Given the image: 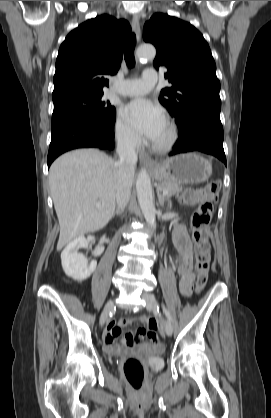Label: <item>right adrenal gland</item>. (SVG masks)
Returning <instances> with one entry per match:
<instances>
[{"mask_svg": "<svg viewBox=\"0 0 271 418\" xmlns=\"http://www.w3.org/2000/svg\"><path fill=\"white\" fill-rule=\"evenodd\" d=\"M122 211H123V209H117L116 212H115V214L116 215H119L120 213H122Z\"/></svg>", "mask_w": 271, "mask_h": 418, "instance_id": "right-adrenal-gland-1", "label": "right adrenal gland"}]
</instances>
